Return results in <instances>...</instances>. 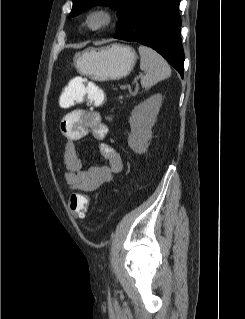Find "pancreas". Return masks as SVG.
Returning a JSON list of instances; mask_svg holds the SVG:
<instances>
[{
	"mask_svg": "<svg viewBox=\"0 0 245 319\" xmlns=\"http://www.w3.org/2000/svg\"><path fill=\"white\" fill-rule=\"evenodd\" d=\"M119 99H122V96H119Z\"/></svg>",
	"mask_w": 245,
	"mask_h": 319,
	"instance_id": "1",
	"label": "pancreas"
}]
</instances>
